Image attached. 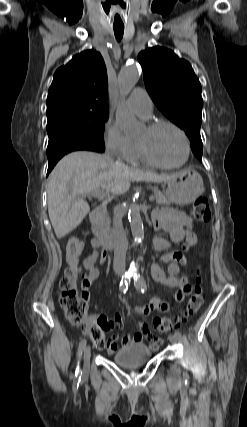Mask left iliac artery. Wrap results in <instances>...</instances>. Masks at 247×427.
Returning <instances> with one entry per match:
<instances>
[{
	"instance_id": "left-iliac-artery-1",
	"label": "left iliac artery",
	"mask_w": 247,
	"mask_h": 427,
	"mask_svg": "<svg viewBox=\"0 0 247 427\" xmlns=\"http://www.w3.org/2000/svg\"><path fill=\"white\" fill-rule=\"evenodd\" d=\"M133 278H134V285L136 289L144 293L147 289L144 278H142L139 274H134ZM175 335H177L178 337H181L180 331L176 330Z\"/></svg>"
}]
</instances>
